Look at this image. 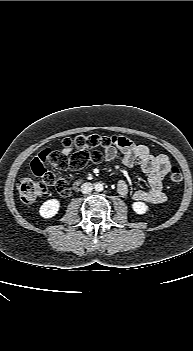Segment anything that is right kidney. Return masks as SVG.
I'll return each instance as SVG.
<instances>
[{"instance_id":"obj_1","label":"right kidney","mask_w":193,"mask_h":351,"mask_svg":"<svg viewBox=\"0 0 193 351\" xmlns=\"http://www.w3.org/2000/svg\"><path fill=\"white\" fill-rule=\"evenodd\" d=\"M60 203L57 199L47 200L40 207L39 213L43 218H52L59 211Z\"/></svg>"}]
</instances>
